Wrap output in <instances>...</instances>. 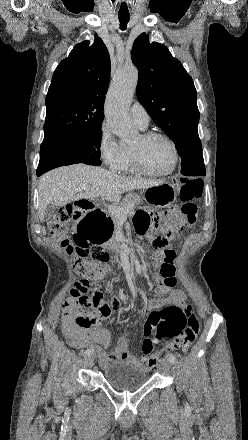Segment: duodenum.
Here are the masks:
<instances>
[{"mask_svg":"<svg viewBox=\"0 0 248 440\" xmlns=\"http://www.w3.org/2000/svg\"><path fill=\"white\" fill-rule=\"evenodd\" d=\"M75 206L77 208H79L80 210L84 211V209H93L94 204L90 200H80V201H77L75 203ZM115 253L120 258L122 263H126L128 261V255L129 254H128L126 249H124L122 247H116L115 248Z\"/></svg>","mask_w":248,"mask_h":440,"instance_id":"obj_1","label":"duodenum"}]
</instances>
